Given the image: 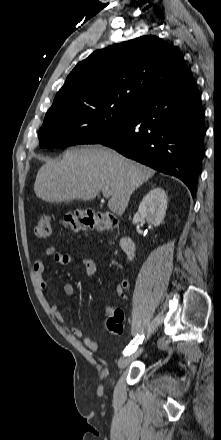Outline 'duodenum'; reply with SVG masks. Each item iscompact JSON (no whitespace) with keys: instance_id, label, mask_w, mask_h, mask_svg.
I'll return each instance as SVG.
<instances>
[{"instance_id":"410a0bca","label":"duodenum","mask_w":221,"mask_h":440,"mask_svg":"<svg viewBox=\"0 0 221 440\" xmlns=\"http://www.w3.org/2000/svg\"><path fill=\"white\" fill-rule=\"evenodd\" d=\"M121 248L131 258L134 255L135 247L132 240L125 236L121 239Z\"/></svg>"}]
</instances>
